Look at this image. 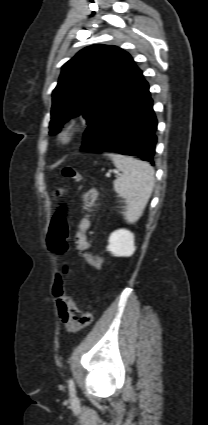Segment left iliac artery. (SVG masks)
I'll list each match as a JSON object with an SVG mask.
<instances>
[{
    "label": "left iliac artery",
    "instance_id": "44dca946",
    "mask_svg": "<svg viewBox=\"0 0 208 425\" xmlns=\"http://www.w3.org/2000/svg\"><path fill=\"white\" fill-rule=\"evenodd\" d=\"M68 387H69L70 394L72 396H75V384H74V381L72 379H69Z\"/></svg>",
    "mask_w": 208,
    "mask_h": 425
}]
</instances>
